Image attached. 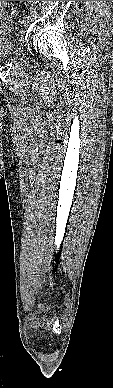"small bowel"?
<instances>
[{
	"label": "small bowel",
	"mask_w": 113,
	"mask_h": 388,
	"mask_svg": "<svg viewBox=\"0 0 113 388\" xmlns=\"http://www.w3.org/2000/svg\"><path fill=\"white\" fill-rule=\"evenodd\" d=\"M4 15H5V12L3 10V2L0 1V20L1 18H3Z\"/></svg>",
	"instance_id": "obj_1"
}]
</instances>
